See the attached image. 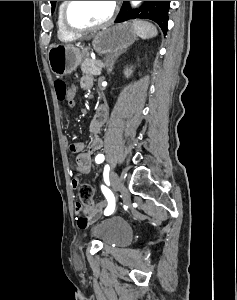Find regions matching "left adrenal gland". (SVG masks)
<instances>
[{
	"mask_svg": "<svg viewBox=\"0 0 237 300\" xmlns=\"http://www.w3.org/2000/svg\"><path fill=\"white\" fill-rule=\"evenodd\" d=\"M122 53H124V51H118V53H115V55H113V57H106V65H107V73L108 75H110V73H112L113 71V67L115 65V61H117V59H119V55H122Z\"/></svg>",
	"mask_w": 237,
	"mask_h": 300,
	"instance_id": "left-adrenal-gland-1",
	"label": "left adrenal gland"
}]
</instances>
